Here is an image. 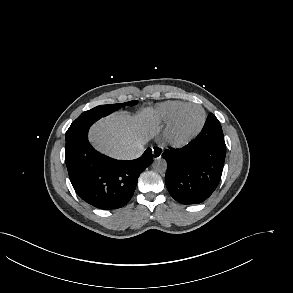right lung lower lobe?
<instances>
[{
  "label": "right lung lower lobe",
  "mask_w": 293,
  "mask_h": 293,
  "mask_svg": "<svg viewBox=\"0 0 293 293\" xmlns=\"http://www.w3.org/2000/svg\"><path fill=\"white\" fill-rule=\"evenodd\" d=\"M85 125L66 133L65 162L76 193L87 203L111 210L126 205L137 186L139 174L153 160L148 148L135 160H115L97 152L88 141Z\"/></svg>",
  "instance_id": "obj_1"
}]
</instances>
